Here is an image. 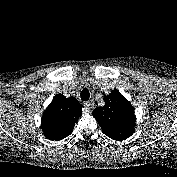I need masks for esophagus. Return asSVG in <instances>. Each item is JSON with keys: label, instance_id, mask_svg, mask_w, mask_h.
<instances>
[{"label": "esophagus", "instance_id": "1", "mask_svg": "<svg viewBox=\"0 0 177 177\" xmlns=\"http://www.w3.org/2000/svg\"><path fill=\"white\" fill-rule=\"evenodd\" d=\"M94 106V103L92 101H86L84 103V108H83V112L86 113V112H89Z\"/></svg>", "mask_w": 177, "mask_h": 177}]
</instances>
